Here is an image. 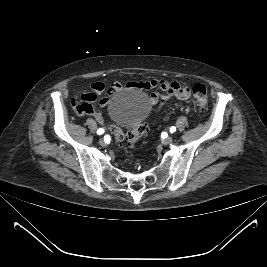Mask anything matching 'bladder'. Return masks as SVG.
Wrapping results in <instances>:
<instances>
[{"label":"bladder","instance_id":"bladder-1","mask_svg":"<svg viewBox=\"0 0 267 267\" xmlns=\"http://www.w3.org/2000/svg\"><path fill=\"white\" fill-rule=\"evenodd\" d=\"M110 120L119 127H132L142 123L149 114L144 98L134 91H120L108 105Z\"/></svg>","mask_w":267,"mask_h":267}]
</instances>
